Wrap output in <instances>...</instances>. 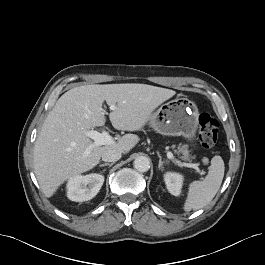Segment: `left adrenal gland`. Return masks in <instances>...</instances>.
I'll list each match as a JSON object with an SVG mask.
<instances>
[{
  "label": "left adrenal gland",
  "mask_w": 265,
  "mask_h": 265,
  "mask_svg": "<svg viewBox=\"0 0 265 265\" xmlns=\"http://www.w3.org/2000/svg\"><path fill=\"white\" fill-rule=\"evenodd\" d=\"M158 157H159V165H158V168L160 170H162L163 164L168 163V161L167 160L162 161V157H161V155L159 153H158Z\"/></svg>",
  "instance_id": "1"
}]
</instances>
